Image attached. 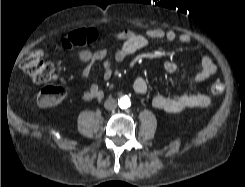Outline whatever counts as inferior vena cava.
<instances>
[{
	"label": "inferior vena cava",
	"instance_id": "obj_1",
	"mask_svg": "<svg viewBox=\"0 0 245 187\" xmlns=\"http://www.w3.org/2000/svg\"><path fill=\"white\" fill-rule=\"evenodd\" d=\"M104 107L107 110H114L117 107V101L114 98H109L105 101Z\"/></svg>",
	"mask_w": 245,
	"mask_h": 187
}]
</instances>
